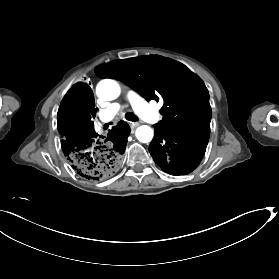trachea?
Segmentation results:
<instances>
[{"mask_svg":"<svg viewBox=\"0 0 279 279\" xmlns=\"http://www.w3.org/2000/svg\"><path fill=\"white\" fill-rule=\"evenodd\" d=\"M125 118L129 121H132V122H135L138 119L137 116L133 112H127L125 114Z\"/></svg>","mask_w":279,"mask_h":279,"instance_id":"1","label":"trachea"}]
</instances>
